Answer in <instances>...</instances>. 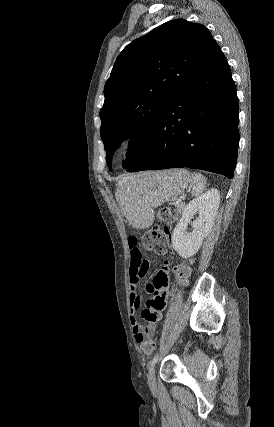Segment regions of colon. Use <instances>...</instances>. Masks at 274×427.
<instances>
[{
    "label": "colon",
    "instance_id": "5ec220e1",
    "mask_svg": "<svg viewBox=\"0 0 274 427\" xmlns=\"http://www.w3.org/2000/svg\"><path fill=\"white\" fill-rule=\"evenodd\" d=\"M176 216V211L173 207L167 206L162 207L159 211V219L164 223V227L161 228L159 224H155L142 235L143 243L141 245L143 251H154V248H168V236L169 226L172 224ZM172 271V270H171ZM187 268L185 266H175L174 273L178 281L182 282L187 275ZM159 337H148L147 341L143 342L140 347L141 354H152L156 346H159ZM138 364H149L151 358L149 355H138L136 358Z\"/></svg>",
    "mask_w": 274,
    "mask_h": 427
}]
</instances>
